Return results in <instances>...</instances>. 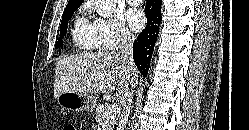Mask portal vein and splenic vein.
Returning a JSON list of instances; mask_svg holds the SVG:
<instances>
[{
  "label": "portal vein and splenic vein",
  "instance_id": "18ae733b",
  "mask_svg": "<svg viewBox=\"0 0 249 130\" xmlns=\"http://www.w3.org/2000/svg\"><path fill=\"white\" fill-rule=\"evenodd\" d=\"M117 113H118V107L115 104H113L104 112L103 117L105 119L114 118Z\"/></svg>",
  "mask_w": 249,
  "mask_h": 130
}]
</instances>
